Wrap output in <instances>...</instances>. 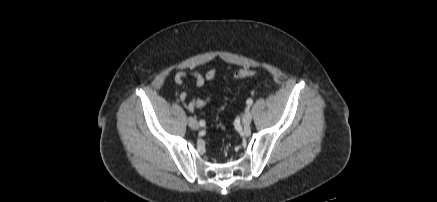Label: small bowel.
<instances>
[{"mask_svg":"<svg viewBox=\"0 0 437 202\" xmlns=\"http://www.w3.org/2000/svg\"><path fill=\"white\" fill-rule=\"evenodd\" d=\"M216 71L214 69L209 70L205 75L200 74L199 72H191L181 70L178 71L175 75V82L179 85L184 84V80L188 77L194 79L196 86L198 88H202L205 84V81H211L215 78ZM213 99V94H209L205 98L192 99L188 101V94L184 90L179 95V101L183 104V106L189 111L193 112L195 109L206 107Z\"/></svg>","mask_w":437,"mask_h":202,"instance_id":"c3829d8e","label":"small bowel"}]
</instances>
